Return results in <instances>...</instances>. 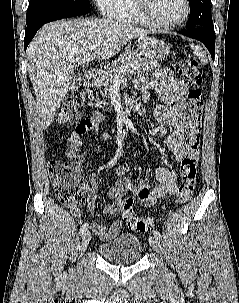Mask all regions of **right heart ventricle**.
<instances>
[{
  "label": "right heart ventricle",
  "instance_id": "e07e8e85",
  "mask_svg": "<svg viewBox=\"0 0 239 303\" xmlns=\"http://www.w3.org/2000/svg\"><path fill=\"white\" fill-rule=\"evenodd\" d=\"M118 21H123L136 25H144L138 16L133 0H123L119 13L114 17Z\"/></svg>",
  "mask_w": 239,
  "mask_h": 303
}]
</instances>
